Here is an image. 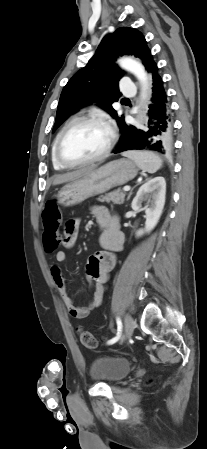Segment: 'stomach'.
I'll list each match as a JSON object with an SVG mask.
<instances>
[{
    "label": "stomach",
    "mask_w": 207,
    "mask_h": 449,
    "mask_svg": "<svg viewBox=\"0 0 207 449\" xmlns=\"http://www.w3.org/2000/svg\"><path fill=\"white\" fill-rule=\"evenodd\" d=\"M137 173L138 167L130 159L111 161L62 187L57 193V202L65 207L78 205L90 197L126 184Z\"/></svg>",
    "instance_id": "1"
}]
</instances>
